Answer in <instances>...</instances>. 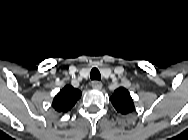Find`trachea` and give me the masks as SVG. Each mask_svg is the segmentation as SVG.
I'll use <instances>...</instances> for the list:
<instances>
[{
    "label": "trachea",
    "mask_w": 188,
    "mask_h": 140,
    "mask_svg": "<svg viewBox=\"0 0 188 140\" xmlns=\"http://www.w3.org/2000/svg\"><path fill=\"white\" fill-rule=\"evenodd\" d=\"M91 80H100L101 74L97 68H93L90 73Z\"/></svg>",
    "instance_id": "obj_1"
}]
</instances>
